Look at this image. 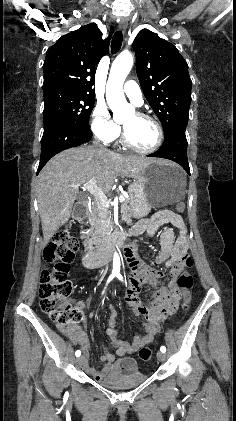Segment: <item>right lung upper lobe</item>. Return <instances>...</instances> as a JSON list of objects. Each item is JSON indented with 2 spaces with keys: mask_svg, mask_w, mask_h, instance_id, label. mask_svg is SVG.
<instances>
[{
  "mask_svg": "<svg viewBox=\"0 0 236 421\" xmlns=\"http://www.w3.org/2000/svg\"><path fill=\"white\" fill-rule=\"evenodd\" d=\"M109 42L110 36L103 40L95 23L62 36L47 51L43 90L63 89L94 96L95 67L108 52Z\"/></svg>",
  "mask_w": 236,
  "mask_h": 421,
  "instance_id": "1",
  "label": "right lung upper lobe"
}]
</instances>
